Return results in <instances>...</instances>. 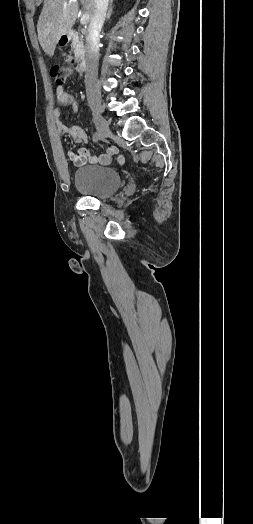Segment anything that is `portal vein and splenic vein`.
Wrapping results in <instances>:
<instances>
[{
  "instance_id": "1",
  "label": "portal vein and splenic vein",
  "mask_w": 253,
  "mask_h": 524,
  "mask_svg": "<svg viewBox=\"0 0 253 524\" xmlns=\"http://www.w3.org/2000/svg\"><path fill=\"white\" fill-rule=\"evenodd\" d=\"M90 19V15L88 13H85L82 15L80 22L81 24H87Z\"/></svg>"
}]
</instances>
